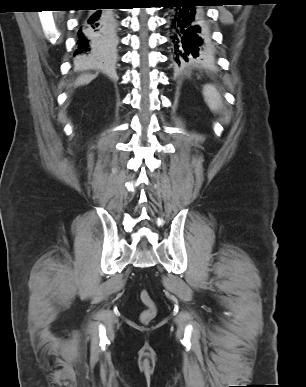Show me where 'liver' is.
<instances>
[{
    "mask_svg": "<svg viewBox=\"0 0 306 387\" xmlns=\"http://www.w3.org/2000/svg\"><path fill=\"white\" fill-rule=\"evenodd\" d=\"M94 75L91 74H84L81 75L75 82L76 86L84 85L90 83L94 79Z\"/></svg>",
    "mask_w": 306,
    "mask_h": 387,
    "instance_id": "obj_1",
    "label": "liver"
}]
</instances>
